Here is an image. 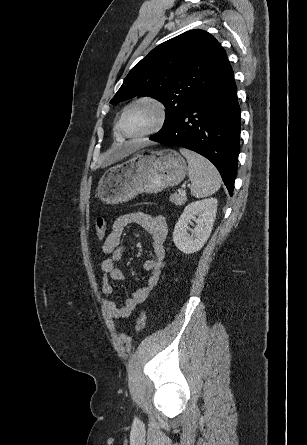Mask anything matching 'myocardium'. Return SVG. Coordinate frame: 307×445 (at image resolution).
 <instances>
[{
    "label": "myocardium",
    "mask_w": 307,
    "mask_h": 445,
    "mask_svg": "<svg viewBox=\"0 0 307 445\" xmlns=\"http://www.w3.org/2000/svg\"><path fill=\"white\" fill-rule=\"evenodd\" d=\"M140 103H149V104H152L153 106H155L159 113V119H158L157 124L149 130H146V131H143L140 133H130L126 127L127 112L130 107H132L133 105H136V104H140ZM168 119H169L168 108L161 100H159L155 97H152V96H142V97H139V98L131 101L124 108L122 117L120 120V129H121L122 134L128 138L146 137V136L154 135V134L161 132L167 125Z\"/></svg>",
    "instance_id": "obj_1"
}]
</instances>
